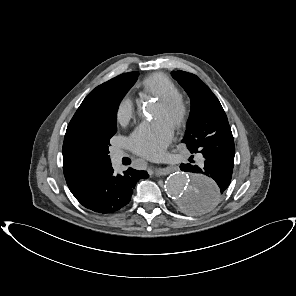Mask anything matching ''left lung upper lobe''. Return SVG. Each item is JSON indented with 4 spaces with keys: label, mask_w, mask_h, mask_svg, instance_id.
Returning a JSON list of instances; mask_svg holds the SVG:
<instances>
[{
    "label": "left lung upper lobe",
    "mask_w": 296,
    "mask_h": 296,
    "mask_svg": "<svg viewBox=\"0 0 296 296\" xmlns=\"http://www.w3.org/2000/svg\"><path fill=\"white\" fill-rule=\"evenodd\" d=\"M171 74L191 99V112L182 142L191 153H202L209 137L229 126L227 116L217 97L196 75L184 71ZM192 203L193 199L188 200L183 208L188 210Z\"/></svg>",
    "instance_id": "5c2ea615"
}]
</instances>
